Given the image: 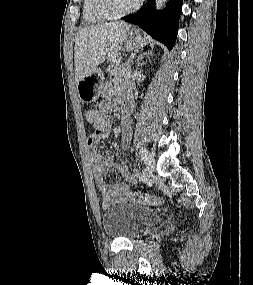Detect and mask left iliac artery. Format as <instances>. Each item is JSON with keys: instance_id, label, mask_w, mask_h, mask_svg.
Returning a JSON list of instances; mask_svg holds the SVG:
<instances>
[{"instance_id": "left-iliac-artery-1", "label": "left iliac artery", "mask_w": 253, "mask_h": 285, "mask_svg": "<svg viewBox=\"0 0 253 285\" xmlns=\"http://www.w3.org/2000/svg\"><path fill=\"white\" fill-rule=\"evenodd\" d=\"M140 153H141L142 159L145 161L149 154L148 150L144 146L140 145Z\"/></svg>"}]
</instances>
